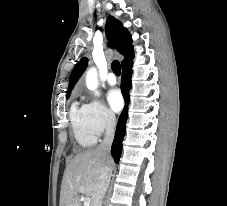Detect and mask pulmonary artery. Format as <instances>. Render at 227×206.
Returning <instances> with one entry per match:
<instances>
[{"mask_svg": "<svg viewBox=\"0 0 227 206\" xmlns=\"http://www.w3.org/2000/svg\"><path fill=\"white\" fill-rule=\"evenodd\" d=\"M107 82L110 84V85H115L117 83V79H116V76L110 72L108 75H107Z\"/></svg>", "mask_w": 227, "mask_h": 206, "instance_id": "obj_1", "label": "pulmonary artery"}]
</instances>
